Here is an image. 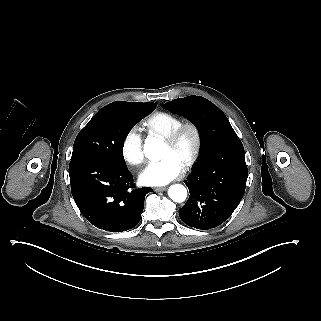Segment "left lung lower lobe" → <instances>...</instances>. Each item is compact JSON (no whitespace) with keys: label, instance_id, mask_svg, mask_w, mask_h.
I'll return each instance as SVG.
<instances>
[{"label":"left lung lower lobe","instance_id":"left-lung-lower-lobe-1","mask_svg":"<svg viewBox=\"0 0 321 321\" xmlns=\"http://www.w3.org/2000/svg\"><path fill=\"white\" fill-rule=\"evenodd\" d=\"M248 170L241 142L228 144L199 161L185 184L190 196L179 210L190 227L207 230L222 224L239 205Z\"/></svg>","mask_w":321,"mask_h":321}]
</instances>
